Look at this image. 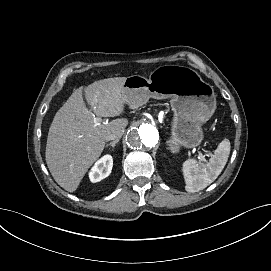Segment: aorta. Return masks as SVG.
<instances>
[{
  "label": "aorta",
  "instance_id": "aorta-1",
  "mask_svg": "<svg viewBox=\"0 0 271 271\" xmlns=\"http://www.w3.org/2000/svg\"><path fill=\"white\" fill-rule=\"evenodd\" d=\"M158 141L159 132L156 126L145 119L134 121L127 131V145L137 151H148L154 148Z\"/></svg>",
  "mask_w": 271,
  "mask_h": 271
}]
</instances>
